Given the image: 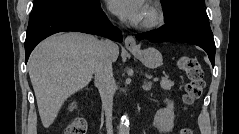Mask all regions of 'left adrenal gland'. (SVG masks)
<instances>
[{"label":"left adrenal gland","mask_w":239,"mask_h":134,"mask_svg":"<svg viewBox=\"0 0 239 134\" xmlns=\"http://www.w3.org/2000/svg\"><path fill=\"white\" fill-rule=\"evenodd\" d=\"M142 87L145 91H150L152 87V82L145 81Z\"/></svg>","instance_id":"a2214340"}]
</instances>
